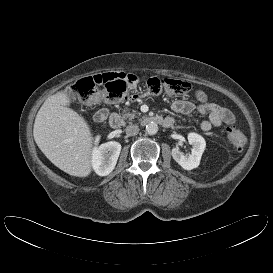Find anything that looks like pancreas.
I'll use <instances>...</instances> for the list:
<instances>
[{"instance_id":"cf45deb5","label":"pancreas","mask_w":273,"mask_h":273,"mask_svg":"<svg viewBox=\"0 0 273 273\" xmlns=\"http://www.w3.org/2000/svg\"><path fill=\"white\" fill-rule=\"evenodd\" d=\"M140 115V114H139ZM138 117L134 112H127L122 114V120H127L129 119L132 121L134 118Z\"/></svg>"}]
</instances>
